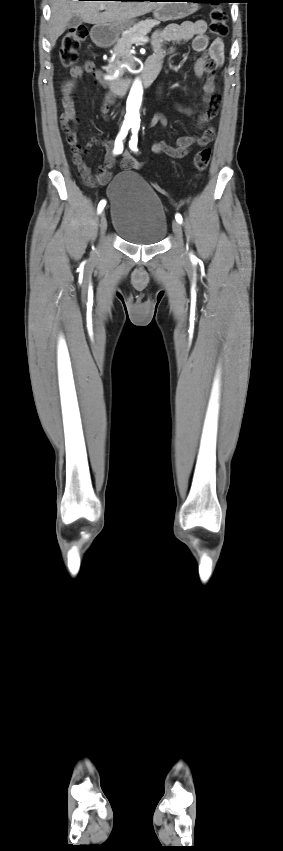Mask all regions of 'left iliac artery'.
<instances>
[{
	"label": "left iliac artery",
	"instance_id": "1",
	"mask_svg": "<svg viewBox=\"0 0 283 851\" xmlns=\"http://www.w3.org/2000/svg\"><path fill=\"white\" fill-rule=\"evenodd\" d=\"M138 130H139V124L138 123L133 124L132 125V137H131V140L129 141V147L134 152L138 151V149H137ZM175 218H176L177 222L182 223L183 219H182V216L179 213H177L175 215Z\"/></svg>",
	"mask_w": 283,
	"mask_h": 851
}]
</instances>
